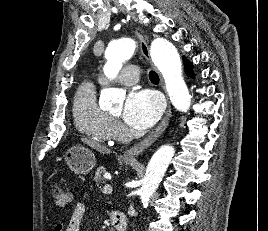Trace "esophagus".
<instances>
[{
  "label": "esophagus",
  "mask_w": 268,
  "mask_h": 231,
  "mask_svg": "<svg viewBox=\"0 0 268 231\" xmlns=\"http://www.w3.org/2000/svg\"><path fill=\"white\" fill-rule=\"evenodd\" d=\"M136 34L138 37V41H139V45H140L142 54L150 63H152L151 58H150V54H149V46H148L146 39L142 35H140L139 33H136ZM170 118H171V104L168 101L167 110L165 112V115L163 116L162 120L157 125V127L146 138H144L141 142H139V143L135 144L134 146H132L131 148L125 150L123 152V155H122L123 160L135 161L136 157L140 153H142L143 151L148 149L162 135V133L165 131L166 127L169 124Z\"/></svg>",
  "instance_id": "1"
}]
</instances>
